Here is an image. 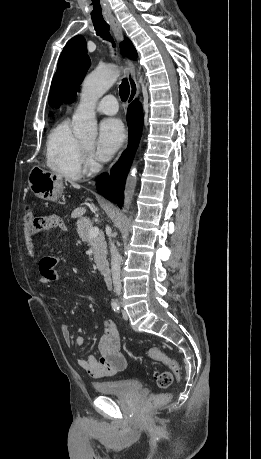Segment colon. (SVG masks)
<instances>
[{"label": "colon", "instance_id": "obj_1", "mask_svg": "<svg viewBox=\"0 0 261 459\" xmlns=\"http://www.w3.org/2000/svg\"><path fill=\"white\" fill-rule=\"evenodd\" d=\"M22 221L23 223L21 224L19 233L21 236H25V246L26 249L30 252V258L32 260H36L39 258V255L33 240L36 230H39L42 227V220L39 218H34L32 215L28 214L27 216L23 217ZM149 356L153 360L162 361L169 365V371H163L155 374V381L161 388H167L171 386L174 378L180 376L179 364L157 347H153L149 350ZM169 398L170 395L168 394L151 395L148 398V405L150 407H154L164 403Z\"/></svg>", "mask_w": 261, "mask_h": 459}]
</instances>
